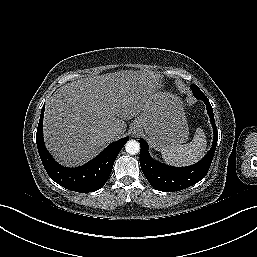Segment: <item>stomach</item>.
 Returning a JSON list of instances; mask_svg holds the SVG:
<instances>
[{
  "label": "stomach",
  "instance_id": "stomach-1",
  "mask_svg": "<svg viewBox=\"0 0 257 257\" xmlns=\"http://www.w3.org/2000/svg\"><path fill=\"white\" fill-rule=\"evenodd\" d=\"M133 130H144L151 145L159 150L184 143L189 128L182 101L168 92L155 93L135 119Z\"/></svg>",
  "mask_w": 257,
  "mask_h": 257
}]
</instances>
